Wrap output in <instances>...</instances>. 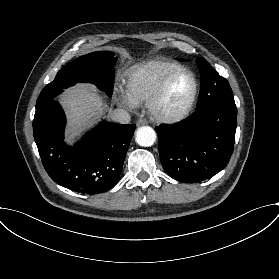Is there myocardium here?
<instances>
[{"mask_svg":"<svg viewBox=\"0 0 279 279\" xmlns=\"http://www.w3.org/2000/svg\"><path fill=\"white\" fill-rule=\"evenodd\" d=\"M188 74L191 76L193 80V90L188 98V100L185 102V104L176 112L169 113L166 112L162 108V104L165 100V97L167 95V92L172 84V82L181 74ZM198 90H199V83L196 75L188 70V69H181L178 70L169 76H167L160 86L157 88V90L154 92L152 97L149 101V111L151 116L158 122L163 124H176L181 121H183L191 112L193 109L197 96H198Z\"/></svg>","mask_w":279,"mask_h":279,"instance_id":"myocardium-1","label":"myocardium"}]
</instances>
